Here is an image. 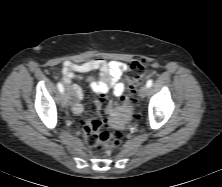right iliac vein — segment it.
Wrapping results in <instances>:
<instances>
[{"mask_svg": "<svg viewBox=\"0 0 222 187\" xmlns=\"http://www.w3.org/2000/svg\"><path fill=\"white\" fill-rule=\"evenodd\" d=\"M68 101H69L68 93L65 92V93H63V94L61 95V105H62L63 107H66L67 104H68Z\"/></svg>", "mask_w": 222, "mask_h": 187, "instance_id": "obj_1", "label": "right iliac vein"}]
</instances>
